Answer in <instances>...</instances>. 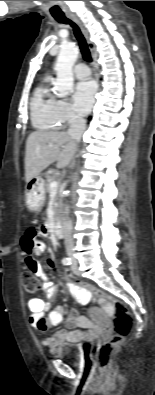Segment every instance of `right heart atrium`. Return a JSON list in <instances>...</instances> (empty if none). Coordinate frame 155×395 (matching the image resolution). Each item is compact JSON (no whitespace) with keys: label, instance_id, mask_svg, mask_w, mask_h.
<instances>
[{"label":"right heart atrium","instance_id":"right-heart-atrium-1","mask_svg":"<svg viewBox=\"0 0 155 395\" xmlns=\"http://www.w3.org/2000/svg\"><path fill=\"white\" fill-rule=\"evenodd\" d=\"M56 117L60 127L76 123L80 120L73 106L66 100H57Z\"/></svg>","mask_w":155,"mask_h":395}]
</instances>
